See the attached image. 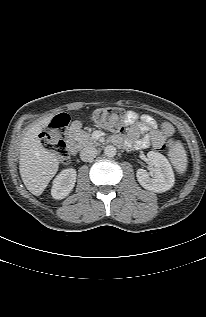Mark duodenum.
Here are the masks:
<instances>
[{
    "label": "duodenum",
    "instance_id": "obj_1",
    "mask_svg": "<svg viewBox=\"0 0 206 317\" xmlns=\"http://www.w3.org/2000/svg\"><path fill=\"white\" fill-rule=\"evenodd\" d=\"M81 124L79 122H74L71 127L67 129L65 132L66 137V143L70 150V152L75 153L76 152V146L77 138L75 135L80 131Z\"/></svg>",
    "mask_w": 206,
    "mask_h": 317
}]
</instances>
